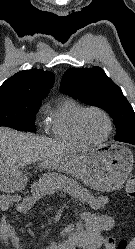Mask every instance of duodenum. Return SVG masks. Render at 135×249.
Returning <instances> with one entry per match:
<instances>
[{
	"mask_svg": "<svg viewBox=\"0 0 135 249\" xmlns=\"http://www.w3.org/2000/svg\"><path fill=\"white\" fill-rule=\"evenodd\" d=\"M81 247L82 249H88L86 244L83 243V239L76 236L69 237L65 242V248L70 249L73 246Z\"/></svg>",
	"mask_w": 135,
	"mask_h": 249,
	"instance_id": "410a0bca",
	"label": "duodenum"
}]
</instances>
